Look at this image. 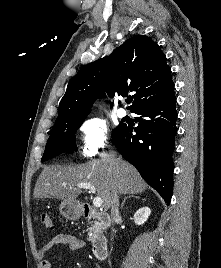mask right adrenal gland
I'll use <instances>...</instances> for the list:
<instances>
[{"instance_id":"2a0ac1e0","label":"right adrenal gland","mask_w":221,"mask_h":268,"mask_svg":"<svg viewBox=\"0 0 221 268\" xmlns=\"http://www.w3.org/2000/svg\"><path fill=\"white\" fill-rule=\"evenodd\" d=\"M131 197H134V198H140V197L137 196V195H129V196H126V197L123 199L122 203H121V209L124 208L125 201H126L128 198H131Z\"/></svg>"}]
</instances>
